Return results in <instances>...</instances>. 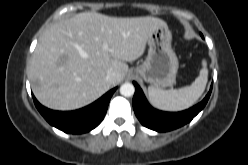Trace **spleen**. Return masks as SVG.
I'll return each instance as SVG.
<instances>
[{"instance_id":"1","label":"spleen","mask_w":248,"mask_h":165,"mask_svg":"<svg viewBox=\"0 0 248 165\" xmlns=\"http://www.w3.org/2000/svg\"><path fill=\"white\" fill-rule=\"evenodd\" d=\"M202 69L195 81L178 90H162L148 87V96L153 106L164 111H181L191 107L203 94L207 81L208 69L206 60L202 61Z\"/></svg>"}]
</instances>
